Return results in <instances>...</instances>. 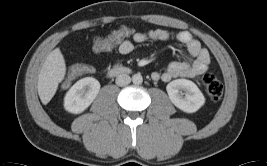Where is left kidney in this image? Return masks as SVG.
Instances as JSON below:
<instances>
[{"mask_svg":"<svg viewBox=\"0 0 267 166\" xmlns=\"http://www.w3.org/2000/svg\"><path fill=\"white\" fill-rule=\"evenodd\" d=\"M171 102L180 110L194 113L205 103V97L195 83L187 79H176L166 87Z\"/></svg>","mask_w":267,"mask_h":166,"instance_id":"5707ae66","label":"left kidney"}]
</instances>
